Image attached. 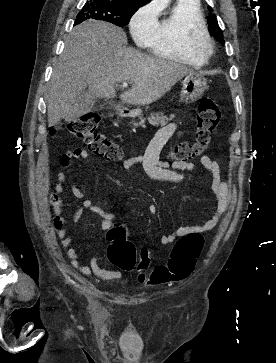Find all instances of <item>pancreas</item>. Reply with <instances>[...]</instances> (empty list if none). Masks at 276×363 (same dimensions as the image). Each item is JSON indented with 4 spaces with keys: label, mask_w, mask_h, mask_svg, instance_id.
I'll list each match as a JSON object with an SVG mask.
<instances>
[{
    "label": "pancreas",
    "mask_w": 276,
    "mask_h": 363,
    "mask_svg": "<svg viewBox=\"0 0 276 363\" xmlns=\"http://www.w3.org/2000/svg\"><path fill=\"white\" fill-rule=\"evenodd\" d=\"M171 117H173V115H171ZM169 121V118L164 116L162 113L159 115L157 114H151V116L148 118V122L153 125V126H158V125H166ZM144 123V119H141V121L139 123H135L133 122L134 126H138V125H142Z\"/></svg>",
    "instance_id": "cf45deb5"
}]
</instances>
